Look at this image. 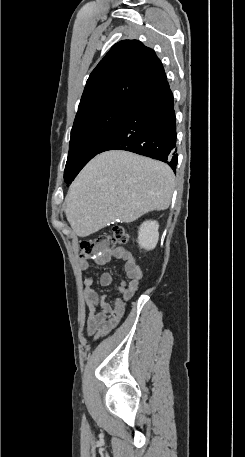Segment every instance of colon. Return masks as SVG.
Wrapping results in <instances>:
<instances>
[{
	"instance_id": "obj_1",
	"label": "colon",
	"mask_w": 245,
	"mask_h": 457,
	"mask_svg": "<svg viewBox=\"0 0 245 457\" xmlns=\"http://www.w3.org/2000/svg\"><path fill=\"white\" fill-rule=\"evenodd\" d=\"M128 235L121 226H114L111 235L101 234L83 240L79 247L81 259H90L106 252L114 245H123L127 242Z\"/></svg>"
}]
</instances>
